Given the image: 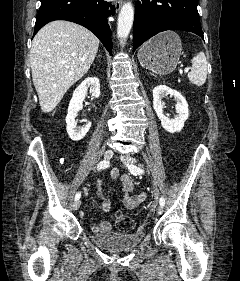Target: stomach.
Listing matches in <instances>:
<instances>
[{
	"instance_id": "1",
	"label": "stomach",
	"mask_w": 240,
	"mask_h": 281,
	"mask_svg": "<svg viewBox=\"0 0 240 281\" xmlns=\"http://www.w3.org/2000/svg\"><path fill=\"white\" fill-rule=\"evenodd\" d=\"M181 51L180 37L173 31H166L146 42L138 52V59L146 69L167 75L176 68Z\"/></svg>"
}]
</instances>
